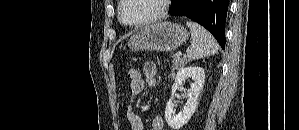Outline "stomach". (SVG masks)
<instances>
[{
	"label": "stomach",
	"mask_w": 299,
	"mask_h": 130,
	"mask_svg": "<svg viewBox=\"0 0 299 130\" xmlns=\"http://www.w3.org/2000/svg\"><path fill=\"white\" fill-rule=\"evenodd\" d=\"M187 37L186 29L180 24L160 22L146 26L131 36L128 47L132 51L170 52L183 44Z\"/></svg>",
	"instance_id": "1"
}]
</instances>
